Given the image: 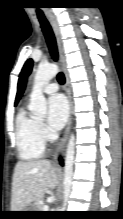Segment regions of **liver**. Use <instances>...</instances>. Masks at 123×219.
<instances>
[{"mask_svg": "<svg viewBox=\"0 0 123 219\" xmlns=\"http://www.w3.org/2000/svg\"><path fill=\"white\" fill-rule=\"evenodd\" d=\"M58 183L59 174L49 160L18 161L12 182L11 211H23Z\"/></svg>", "mask_w": 123, "mask_h": 219, "instance_id": "obj_1", "label": "liver"}]
</instances>
